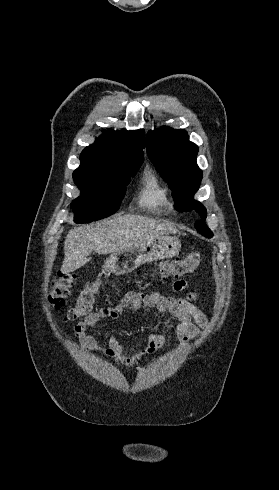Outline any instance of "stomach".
I'll return each mask as SVG.
<instances>
[{"mask_svg": "<svg viewBox=\"0 0 279 490\" xmlns=\"http://www.w3.org/2000/svg\"><path fill=\"white\" fill-rule=\"evenodd\" d=\"M180 248L181 244L178 238H171V236L154 238L150 242L139 244L136 248H126V250L111 254L104 262L103 268L106 272H112L116 276H126L146 262L179 256Z\"/></svg>", "mask_w": 279, "mask_h": 490, "instance_id": "obj_1", "label": "stomach"}]
</instances>
